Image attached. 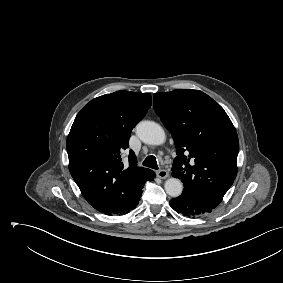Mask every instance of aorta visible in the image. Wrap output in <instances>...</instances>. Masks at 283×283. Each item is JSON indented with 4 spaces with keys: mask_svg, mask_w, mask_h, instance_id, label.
<instances>
[{
    "mask_svg": "<svg viewBox=\"0 0 283 283\" xmlns=\"http://www.w3.org/2000/svg\"><path fill=\"white\" fill-rule=\"evenodd\" d=\"M136 133L144 143L150 145H161L166 139L163 128L153 121H141L136 127ZM164 188L169 196L178 197L182 193L183 185L179 179L169 178Z\"/></svg>",
    "mask_w": 283,
    "mask_h": 283,
    "instance_id": "obj_1",
    "label": "aorta"
}]
</instances>
